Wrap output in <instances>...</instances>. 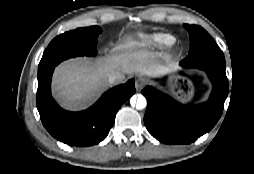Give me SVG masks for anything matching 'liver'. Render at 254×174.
Masks as SVG:
<instances>
[{
  "instance_id": "6515ba94",
  "label": "liver",
  "mask_w": 254,
  "mask_h": 174,
  "mask_svg": "<svg viewBox=\"0 0 254 174\" xmlns=\"http://www.w3.org/2000/svg\"><path fill=\"white\" fill-rule=\"evenodd\" d=\"M151 56L145 42L128 39L109 56L70 59L55 69L53 94L64 108L83 109L109 86L111 75L120 74V82L126 74L151 75Z\"/></svg>"
}]
</instances>
